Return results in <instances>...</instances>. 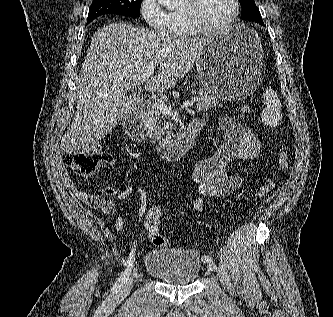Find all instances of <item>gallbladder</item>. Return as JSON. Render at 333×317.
<instances>
[{
  "instance_id": "bac80fb5",
  "label": "gallbladder",
  "mask_w": 333,
  "mask_h": 317,
  "mask_svg": "<svg viewBox=\"0 0 333 317\" xmlns=\"http://www.w3.org/2000/svg\"><path fill=\"white\" fill-rule=\"evenodd\" d=\"M130 101H131L132 105L135 104V98H130Z\"/></svg>"
}]
</instances>
